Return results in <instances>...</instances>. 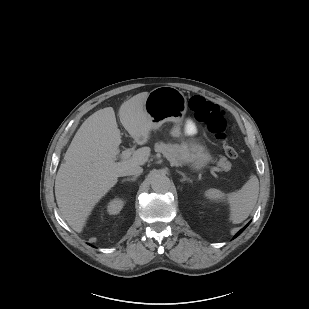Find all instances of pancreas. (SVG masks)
<instances>
[{
  "mask_svg": "<svg viewBox=\"0 0 309 309\" xmlns=\"http://www.w3.org/2000/svg\"><path fill=\"white\" fill-rule=\"evenodd\" d=\"M155 151L162 153L171 164L181 165L186 162V157L183 154L181 147L172 144H165L163 142L155 144ZM218 166L222 167L224 170H229L231 164L225 157L220 158Z\"/></svg>",
  "mask_w": 309,
  "mask_h": 309,
  "instance_id": "cf45deb5",
  "label": "pancreas"
}]
</instances>
